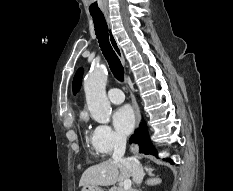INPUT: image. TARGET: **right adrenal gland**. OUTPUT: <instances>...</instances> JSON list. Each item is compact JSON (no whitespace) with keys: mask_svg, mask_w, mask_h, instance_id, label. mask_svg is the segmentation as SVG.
Segmentation results:
<instances>
[{"mask_svg":"<svg viewBox=\"0 0 233 191\" xmlns=\"http://www.w3.org/2000/svg\"><path fill=\"white\" fill-rule=\"evenodd\" d=\"M144 169H145L146 173H148V175L152 178V179L147 181V184H151L152 181L155 179V178H153L154 177V174H153L154 169L151 167H148L147 165L144 167Z\"/></svg>","mask_w":233,"mask_h":191,"instance_id":"2a0ac1e0","label":"right adrenal gland"}]
</instances>
